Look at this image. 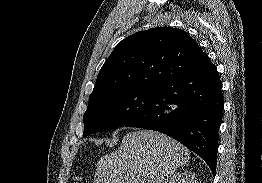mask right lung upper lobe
I'll return each instance as SVG.
<instances>
[{
    "label": "right lung upper lobe",
    "mask_w": 262,
    "mask_h": 183,
    "mask_svg": "<svg viewBox=\"0 0 262 183\" xmlns=\"http://www.w3.org/2000/svg\"><path fill=\"white\" fill-rule=\"evenodd\" d=\"M208 62V55L184 30L157 27L140 31L114 48L99 71L90 99L124 89H158Z\"/></svg>",
    "instance_id": "obj_1"
}]
</instances>
